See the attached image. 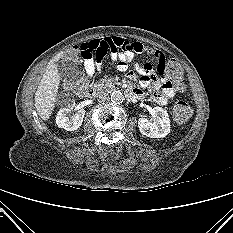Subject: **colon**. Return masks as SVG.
Segmentation results:
<instances>
[{"mask_svg":"<svg viewBox=\"0 0 233 233\" xmlns=\"http://www.w3.org/2000/svg\"><path fill=\"white\" fill-rule=\"evenodd\" d=\"M160 74L166 72L171 79L169 80V85L179 92L184 90V83L182 81V67L180 63L174 59L165 61L162 66L160 67L159 71ZM67 86L70 90H72L75 94L82 96L86 90L87 83L83 76L78 78L75 81L67 83ZM192 114L191 106L185 101H177L173 106V115L174 118L178 122H185L187 121Z\"/></svg>","mask_w":233,"mask_h":233,"instance_id":"5ec220e1","label":"colon"}]
</instances>
